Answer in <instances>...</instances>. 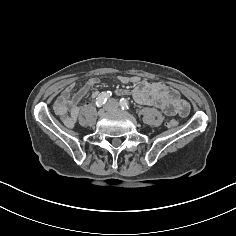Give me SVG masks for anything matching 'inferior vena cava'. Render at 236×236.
<instances>
[{"label":"inferior vena cava","instance_id":"602c4592","mask_svg":"<svg viewBox=\"0 0 236 236\" xmlns=\"http://www.w3.org/2000/svg\"><path fill=\"white\" fill-rule=\"evenodd\" d=\"M118 107L116 99H109L105 104V109L108 111H114Z\"/></svg>","mask_w":236,"mask_h":236}]
</instances>
